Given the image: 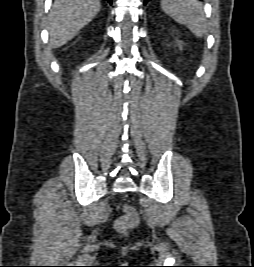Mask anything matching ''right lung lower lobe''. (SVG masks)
Wrapping results in <instances>:
<instances>
[{"instance_id": "98d812e1", "label": "right lung lower lobe", "mask_w": 254, "mask_h": 267, "mask_svg": "<svg viewBox=\"0 0 254 267\" xmlns=\"http://www.w3.org/2000/svg\"><path fill=\"white\" fill-rule=\"evenodd\" d=\"M110 5H112V0H106Z\"/></svg>"}]
</instances>
